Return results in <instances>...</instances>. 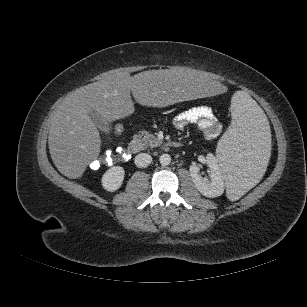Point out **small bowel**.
Returning a JSON list of instances; mask_svg holds the SVG:
<instances>
[{
  "mask_svg": "<svg viewBox=\"0 0 307 307\" xmlns=\"http://www.w3.org/2000/svg\"><path fill=\"white\" fill-rule=\"evenodd\" d=\"M173 124L178 130H184L189 124H196L208 139L218 137L222 125L208 106H197L178 114Z\"/></svg>",
  "mask_w": 307,
  "mask_h": 307,
  "instance_id": "obj_1",
  "label": "small bowel"
}]
</instances>
